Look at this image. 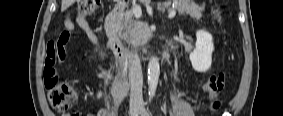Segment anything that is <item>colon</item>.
Returning <instances> with one entry per match:
<instances>
[{
    "label": "colon",
    "mask_w": 283,
    "mask_h": 116,
    "mask_svg": "<svg viewBox=\"0 0 283 116\" xmlns=\"http://www.w3.org/2000/svg\"><path fill=\"white\" fill-rule=\"evenodd\" d=\"M98 4L99 0H80L78 1L77 7L78 14L83 17L90 16L97 10ZM213 20L217 24H220L222 21L219 6L214 7ZM68 37V32L63 31L59 41L61 39L63 43H66ZM44 76V85L48 89L50 105L57 111L68 110L77 99V91L75 88L65 81H59L55 76ZM224 86V74L221 72L210 75L204 85V90L212 101L211 108L214 111L220 107L219 94L224 89Z\"/></svg>",
    "instance_id": "1"
}]
</instances>
